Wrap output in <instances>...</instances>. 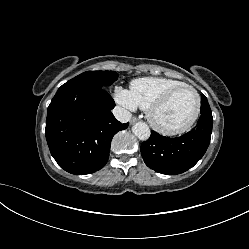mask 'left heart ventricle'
I'll return each mask as SVG.
<instances>
[{
	"instance_id": "left-heart-ventricle-1",
	"label": "left heart ventricle",
	"mask_w": 249,
	"mask_h": 249,
	"mask_svg": "<svg viewBox=\"0 0 249 249\" xmlns=\"http://www.w3.org/2000/svg\"><path fill=\"white\" fill-rule=\"evenodd\" d=\"M195 107V94L189 89H182L176 92L167 104L156 111L155 119L165 128H178L190 120Z\"/></svg>"
}]
</instances>
